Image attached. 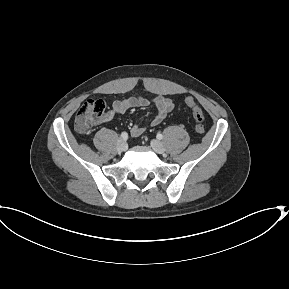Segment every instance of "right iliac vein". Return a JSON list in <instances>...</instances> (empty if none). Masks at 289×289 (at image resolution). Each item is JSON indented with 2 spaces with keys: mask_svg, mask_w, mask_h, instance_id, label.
Here are the masks:
<instances>
[{
  "mask_svg": "<svg viewBox=\"0 0 289 289\" xmlns=\"http://www.w3.org/2000/svg\"><path fill=\"white\" fill-rule=\"evenodd\" d=\"M127 149V143L123 139H119L117 142V151L118 152H124Z\"/></svg>",
  "mask_w": 289,
  "mask_h": 289,
  "instance_id": "right-iliac-vein-1",
  "label": "right iliac vein"
}]
</instances>
